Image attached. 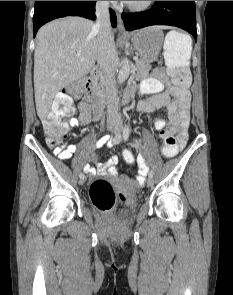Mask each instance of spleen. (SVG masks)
<instances>
[{
    "label": "spleen",
    "instance_id": "1",
    "mask_svg": "<svg viewBox=\"0 0 233 295\" xmlns=\"http://www.w3.org/2000/svg\"><path fill=\"white\" fill-rule=\"evenodd\" d=\"M192 51V40L178 31H170L164 42V59L169 66H187Z\"/></svg>",
    "mask_w": 233,
    "mask_h": 295
}]
</instances>
